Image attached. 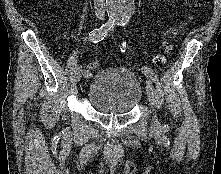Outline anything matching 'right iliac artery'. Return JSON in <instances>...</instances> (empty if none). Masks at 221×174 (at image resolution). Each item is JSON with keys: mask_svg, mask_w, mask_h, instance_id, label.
<instances>
[{"mask_svg": "<svg viewBox=\"0 0 221 174\" xmlns=\"http://www.w3.org/2000/svg\"><path fill=\"white\" fill-rule=\"evenodd\" d=\"M115 25V21L109 19L105 24H103L100 28L94 29L89 33L88 40L92 43H97L101 41L106 34L111 30ZM92 76L89 69L84 70V77L90 79Z\"/></svg>", "mask_w": 221, "mask_h": 174, "instance_id": "right-iliac-artery-1", "label": "right iliac artery"}]
</instances>
